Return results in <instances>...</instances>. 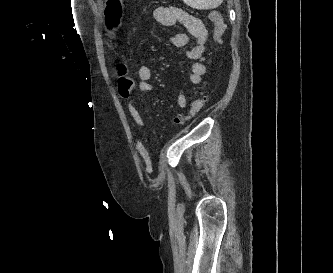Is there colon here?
<instances>
[{"instance_id": "5ec220e1", "label": "colon", "mask_w": 333, "mask_h": 273, "mask_svg": "<svg viewBox=\"0 0 333 273\" xmlns=\"http://www.w3.org/2000/svg\"><path fill=\"white\" fill-rule=\"evenodd\" d=\"M209 19L214 25V39L218 41L225 31L224 20L221 14L218 12H210ZM117 86L118 91L123 98L130 97L134 86V79L128 71L127 65L125 63H120L117 67ZM205 102L206 98L203 95L196 98L190 104L187 114L175 117L172 121V124L175 126L181 125L187 119L196 115L202 109Z\"/></svg>"}]
</instances>
